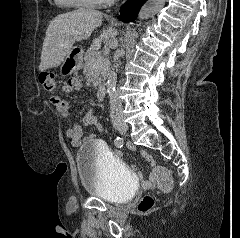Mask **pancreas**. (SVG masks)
<instances>
[{
    "label": "pancreas",
    "instance_id": "pancreas-1",
    "mask_svg": "<svg viewBox=\"0 0 240 238\" xmlns=\"http://www.w3.org/2000/svg\"><path fill=\"white\" fill-rule=\"evenodd\" d=\"M98 58H100L103 63H98ZM84 61V73L87 75V80L97 89L105 80L110 63L100 52H96L92 49L86 51Z\"/></svg>",
    "mask_w": 240,
    "mask_h": 238
}]
</instances>
